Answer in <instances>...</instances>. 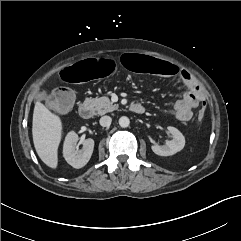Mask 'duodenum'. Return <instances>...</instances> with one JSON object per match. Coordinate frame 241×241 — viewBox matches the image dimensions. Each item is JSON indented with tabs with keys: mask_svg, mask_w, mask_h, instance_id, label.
Returning <instances> with one entry per match:
<instances>
[{
	"mask_svg": "<svg viewBox=\"0 0 241 241\" xmlns=\"http://www.w3.org/2000/svg\"><path fill=\"white\" fill-rule=\"evenodd\" d=\"M130 110L136 114H143L145 112V107L139 103H133L130 106ZM79 115L83 119H89L92 116V106L89 102H83L79 106Z\"/></svg>",
	"mask_w": 241,
	"mask_h": 241,
	"instance_id": "duodenum-1",
	"label": "duodenum"
}]
</instances>
